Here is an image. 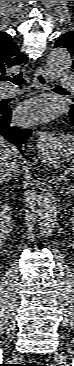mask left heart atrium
<instances>
[{
	"label": "left heart atrium",
	"instance_id": "obj_1",
	"mask_svg": "<svg viewBox=\"0 0 74 366\" xmlns=\"http://www.w3.org/2000/svg\"><path fill=\"white\" fill-rule=\"evenodd\" d=\"M53 114V104L44 98L26 102L18 109V118L23 122L47 121Z\"/></svg>",
	"mask_w": 74,
	"mask_h": 366
}]
</instances>
